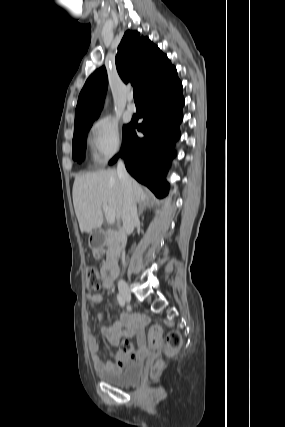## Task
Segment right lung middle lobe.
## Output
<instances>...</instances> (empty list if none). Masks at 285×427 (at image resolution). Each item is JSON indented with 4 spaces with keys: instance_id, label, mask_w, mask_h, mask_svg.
I'll list each match as a JSON object with an SVG mask.
<instances>
[{
    "instance_id": "1",
    "label": "right lung middle lobe",
    "mask_w": 285,
    "mask_h": 427,
    "mask_svg": "<svg viewBox=\"0 0 285 427\" xmlns=\"http://www.w3.org/2000/svg\"><path fill=\"white\" fill-rule=\"evenodd\" d=\"M93 122L87 123L79 128L74 129V137L72 140L73 159L81 162L84 158V151L86 147V137ZM128 125L123 128V136L128 129Z\"/></svg>"
}]
</instances>
